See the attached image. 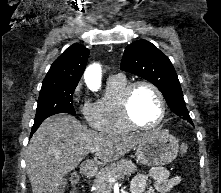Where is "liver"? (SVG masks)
<instances>
[{
    "label": "liver",
    "instance_id": "liver-1",
    "mask_svg": "<svg viewBox=\"0 0 221 193\" xmlns=\"http://www.w3.org/2000/svg\"><path fill=\"white\" fill-rule=\"evenodd\" d=\"M151 133L103 134L75 117L55 115L43 121L26 149L27 175L33 193H61L63 177L75 170L91 148L105 163L123 157Z\"/></svg>",
    "mask_w": 221,
    "mask_h": 193
}]
</instances>
